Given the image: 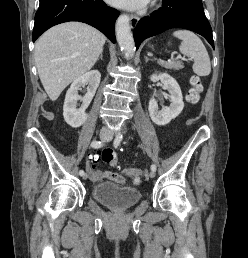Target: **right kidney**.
Wrapping results in <instances>:
<instances>
[{
  "mask_svg": "<svg viewBox=\"0 0 248 258\" xmlns=\"http://www.w3.org/2000/svg\"><path fill=\"white\" fill-rule=\"evenodd\" d=\"M101 74L97 70L89 71L78 77L68 89L63 105V116L65 122L73 128L80 127L87 119L85 110L91 103L96 90L100 84ZM88 84L87 93L82 98L78 95V90ZM81 100L82 105L77 108V101Z\"/></svg>",
  "mask_w": 248,
  "mask_h": 258,
  "instance_id": "1",
  "label": "right kidney"
}]
</instances>
